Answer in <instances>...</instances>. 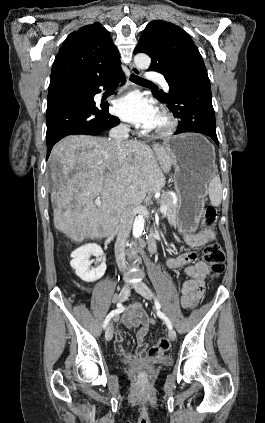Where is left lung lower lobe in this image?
Masks as SVG:
<instances>
[{
    "label": "left lung lower lobe",
    "mask_w": 265,
    "mask_h": 423,
    "mask_svg": "<svg viewBox=\"0 0 265 423\" xmlns=\"http://www.w3.org/2000/svg\"><path fill=\"white\" fill-rule=\"evenodd\" d=\"M165 79L169 85V98L154 95L167 103L174 116L181 119L175 134L201 133L218 144L211 86L204 62L195 60Z\"/></svg>",
    "instance_id": "0a47b994"
}]
</instances>
